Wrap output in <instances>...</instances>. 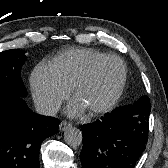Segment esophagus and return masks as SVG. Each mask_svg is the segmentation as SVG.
Instances as JSON below:
<instances>
[{
	"label": "esophagus",
	"mask_w": 168,
	"mask_h": 168,
	"mask_svg": "<svg viewBox=\"0 0 168 168\" xmlns=\"http://www.w3.org/2000/svg\"><path fill=\"white\" fill-rule=\"evenodd\" d=\"M71 127V123L67 122V121H62L59 125V130L60 131H65L66 129Z\"/></svg>",
	"instance_id": "obj_1"
}]
</instances>
